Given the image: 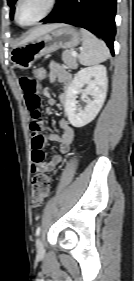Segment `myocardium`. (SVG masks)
Listing matches in <instances>:
<instances>
[{
    "mask_svg": "<svg viewBox=\"0 0 134 281\" xmlns=\"http://www.w3.org/2000/svg\"><path fill=\"white\" fill-rule=\"evenodd\" d=\"M21 2H22V0H17L15 3L14 19H15L16 23L22 27H31V26L37 25L38 23H40L42 20H44L46 17L49 16L53 12L55 7L57 6L58 0H49V4H48V7L45 10V12L39 18H37L35 21H33L29 24H22L19 21L18 10H19V6H20Z\"/></svg>",
    "mask_w": 134,
    "mask_h": 281,
    "instance_id": "f54148a6",
    "label": "myocardium"
}]
</instances>
